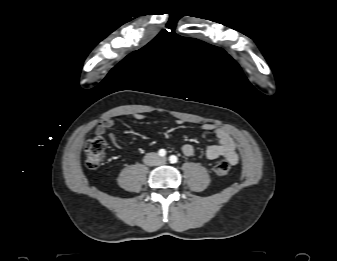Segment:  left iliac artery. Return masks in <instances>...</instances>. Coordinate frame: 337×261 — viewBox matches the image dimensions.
<instances>
[{
	"label": "left iliac artery",
	"mask_w": 337,
	"mask_h": 261,
	"mask_svg": "<svg viewBox=\"0 0 337 261\" xmlns=\"http://www.w3.org/2000/svg\"><path fill=\"white\" fill-rule=\"evenodd\" d=\"M169 161L174 164V163H177L178 158L175 155H171L169 157Z\"/></svg>",
	"instance_id": "1"
}]
</instances>
